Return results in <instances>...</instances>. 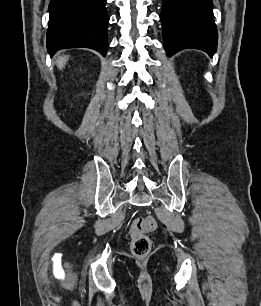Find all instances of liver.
Returning a JSON list of instances; mask_svg holds the SVG:
<instances>
[{
	"label": "liver",
	"mask_w": 261,
	"mask_h": 306,
	"mask_svg": "<svg viewBox=\"0 0 261 306\" xmlns=\"http://www.w3.org/2000/svg\"><path fill=\"white\" fill-rule=\"evenodd\" d=\"M68 59H69V57L66 56V55L59 56L56 59V65H57L58 69L62 70L65 67Z\"/></svg>",
	"instance_id": "liver-1"
}]
</instances>
